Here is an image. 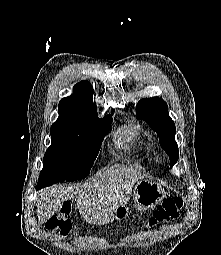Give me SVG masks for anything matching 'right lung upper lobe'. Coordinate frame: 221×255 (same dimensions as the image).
Returning a JSON list of instances; mask_svg holds the SVG:
<instances>
[{"label": "right lung upper lobe", "instance_id": "cb5924a9", "mask_svg": "<svg viewBox=\"0 0 221 255\" xmlns=\"http://www.w3.org/2000/svg\"><path fill=\"white\" fill-rule=\"evenodd\" d=\"M73 90V95L60 101L59 117L54 125L96 129L98 116L96 104L93 103V87L88 81H81Z\"/></svg>", "mask_w": 221, "mask_h": 255}]
</instances>
